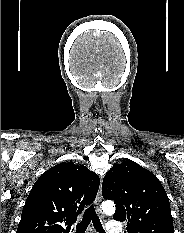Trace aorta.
Here are the masks:
<instances>
[{"mask_svg":"<svg viewBox=\"0 0 184 233\" xmlns=\"http://www.w3.org/2000/svg\"><path fill=\"white\" fill-rule=\"evenodd\" d=\"M103 212L106 214H113L115 211L114 203L112 201H104L101 205Z\"/></svg>","mask_w":184,"mask_h":233,"instance_id":"aorta-1","label":"aorta"}]
</instances>
